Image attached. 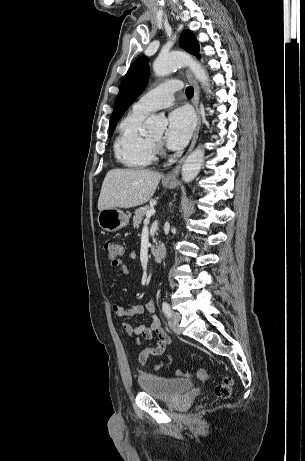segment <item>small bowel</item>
<instances>
[{
    "mask_svg": "<svg viewBox=\"0 0 305 461\" xmlns=\"http://www.w3.org/2000/svg\"><path fill=\"white\" fill-rule=\"evenodd\" d=\"M135 252H130L128 254L129 259H135ZM113 266L125 277L129 278L131 275L130 268L122 261H118L113 264ZM112 309L115 315L124 320L123 329L127 337L132 338L134 346H141L143 340H155L153 346L143 349L138 355V361L141 365H145L150 357L161 356L167 346L172 342L170 336L164 331L161 326L160 320L155 312V304L153 299H149L145 306L141 304H135L130 307H123L117 303L112 305ZM148 312L151 322L149 326L143 324H135L133 319L141 314L144 311ZM166 364V361L162 360L155 365V370H161ZM176 375H188V372H183L177 370Z\"/></svg>",
    "mask_w": 305,
    "mask_h": 461,
    "instance_id": "small-bowel-1",
    "label": "small bowel"
}]
</instances>
